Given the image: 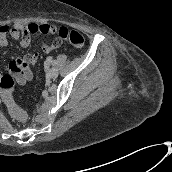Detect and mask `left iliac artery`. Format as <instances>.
Returning <instances> with one entry per match:
<instances>
[{"instance_id":"left-iliac-artery-1","label":"left iliac artery","mask_w":172,"mask_h":172,"mask_svg":"<svg viewBox=\"0 0 172 172\" xmlns=\"http://www.w3.org/2000/svg\"><path fill=\"white\" fill-rule=\"evenodd\" d=\"M47 61L52 62V57H48Z\"/></svg>"}]
</instances>
